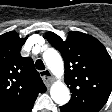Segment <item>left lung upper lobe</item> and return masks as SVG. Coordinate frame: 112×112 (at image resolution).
<instances>
[{
  "label": "left lung upper lobe",
  "instance_id": "obj_1",
  "mask_svg": "<svg viewBox=\"0 0 112 112\" xmlns=\"http://www.w3.org/2000/svg\"><path fill=\"white\" fill-rule=\"evenodd\" d=\"M49 43L60 51L65 62V83L72 95L64 106L73 112H99L112 90V60L93 36L71 31L62 40L46 33Z\"/></svg>",
  "mask_w": 112,
  "mask_h": 112
}]
</instances>
